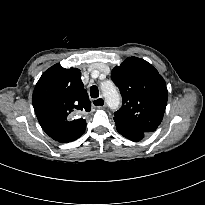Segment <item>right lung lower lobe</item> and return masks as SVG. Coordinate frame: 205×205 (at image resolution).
Listing matches in <instances>:
<instances>
[{
    "mask_svg": "<svg viewBox=\"0 0 205 205\" xmlns=\"http://www.w3.org/2000/svg\"><path fill=\"white\" fill-rule=\"evenodd\" d=\"M51 138H53L54 140L56 141H59L57 140L56 138H54V134L56 133L57 129L56 128H49V129H46L44 130ZM60 142V141H59Z\"/></svg>",
    "mask_w": 205,
    "mask_h": 205,
    "instance_id": "98d812e1",
    "label": "right lung lower lobe"
}]
</instances>
